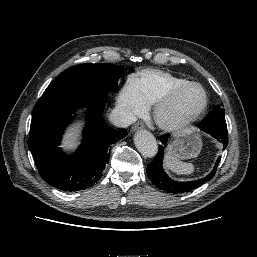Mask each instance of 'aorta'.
<instances>
[{"instance_id": "762f6f07", "label": "aorta", "mask_w": 257, "mask_h": 257, "mask_svg": "<svg viewBox=\"0 0 257 257\" xmlns=\"http://www.w3.org/2000/svg\"><path fill=\"white\" fill-rule=\"evenodd\" d=\"M134 143L138 151L145 157H154L157 153V141L147 130H139L134 136Z\"/></svg>"}]
</instances>
